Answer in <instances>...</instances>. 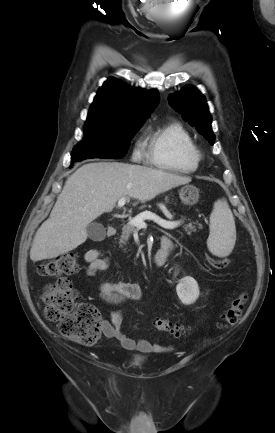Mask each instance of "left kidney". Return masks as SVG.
Here are the masks:
<instances>
[{
    "label": "left kidney",
    "instance_id": "left-kidney-1",
    "mask_svg": "<svg viewBox=\"0 0 275 433\" xmlns=\"http://www.w3.org/2000/svg\"><path fill=\"white\" fill-rule=\"evenodd\" d=\"M176 292L183 304L190 305L199 297L198 283L194 278L186 276L176 286Z\"/></svg>",
    "mask_w": 275,
    "mask_h": 433
}]
</instances>
